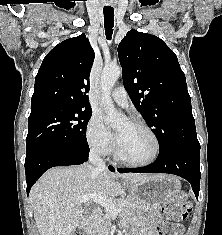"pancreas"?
Instances as JSON below:
<instances>
[{
	"label": "pancreas",
	"instance_id": "pancreas-1",
	"mask_svg": "<svg viewBox=\"0 0 222 235\" xmlns=\"http://www.w3.org/2000/svg\"><path fill=\"white\" fill-rule=\"evenodd\" d=\"M112 202L116 205H123L122 215L124 217L129 219L135 216L137 208L131 200L117 199ZM142 210L147 211L146 208H143ZM93 227L94 235H109L111 228V215L107 212L105 214H101L98 218L95 219Z\"/></svg>",
	"mask_w": 222,
	"mask_h": 235
}]
</instances>
